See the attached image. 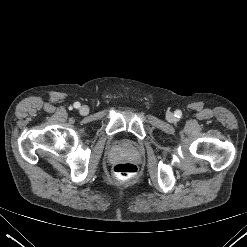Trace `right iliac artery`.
<instances>
[{
    "label": "right iliac artery",
    "instance_id": "1",
    "mask_svg": "<svg viewBox=\"0 0 247 247\" xmlns=\"http://www.w3.org/2000/svg\"><path fill=\"white\" fill-rule=\"evenodd\" d=\"M74 107H75V108H79V107H80V103H79V102H75V103H74Z\"/></svg>",
    "mask_w": 247,
    "mask_h": 247
}]
</instances>
